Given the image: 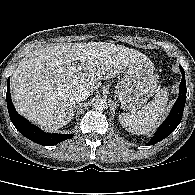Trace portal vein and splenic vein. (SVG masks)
Here are the masks:
<instances>
[{
  "label": "portal vein and splenic vein",
  "instance_id": "18ae733b",
  "mask_svg": "<svg viewBox=\"0 0 195 195\" xmlns=\"http://www.w3.org/2000/svg\"><path fill=\"white\" fill-rule=\"evenodd\" d=\"M82 69H83V64L82 63L78 64L77 71H81Z\"/></svg>",
  "mask_w": 195,
  "mask_h": 195
}]
</instances>
